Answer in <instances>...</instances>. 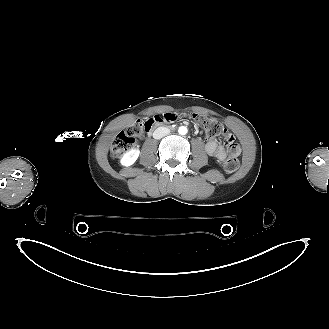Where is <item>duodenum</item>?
Here are the masks:
<instances>
[{
	"label": "duodenum",
	"mask_w": 329,
	"mask_h": 329,
	"mask_svg": "<svg viewBox=\"0 0 329 329\" xmlns=\"http://www.w3.org/2000/svg\"><path fill=\"white\" fill-rule=\"evenodd\" d=\"M163 124H165V123H164V122H163V123L155 122L154 125H153V127L149 130V132H148V136H150V135L152 134L153 130H154L156 127L161 126V125H163Z\"/></svg>",
	"instance_id": "duodenum-1"
}]
</instances>
